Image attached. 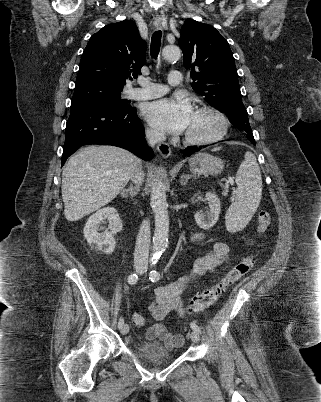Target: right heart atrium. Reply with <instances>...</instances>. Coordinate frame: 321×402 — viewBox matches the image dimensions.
Masks as SVG:
<instances>
[{"instance_id": "obj_1", "label": "right heart atrium", "mask_w": 321, "mask_h": 402, "mask_svg": "<svg viewBox=\"0 0 321 402\" xmlns=\"http://www.w3.org/2000/svg\"><path fill=\"white\" fill-rule=\"evenodd\" d=\"M149 136L151 137V138H156L157 137V134L155 133V132H153V131H149Z\"/></svg>"}]
</instances>
